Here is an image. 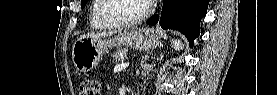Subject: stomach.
<instances>
[{
	"label": "stomach",
	"mask_w": 277,
	"mask_h": 95,
	"mask_svg": "<svg viewBox=\"0 0 277 95\" xmlns=\"http://www.w3.org/2000/svg\"><path fill=\"white\" fill-rule=\"evenodd\" d=\"M160 34L153 29H131L113 39L78 38L72 47V61L77 71L89 72L98 65L104 52L112 47L129 45L140 50H151L159 44Z\"/></svg>",
	"instance_id": "stomach-1"
}]
</instances>
